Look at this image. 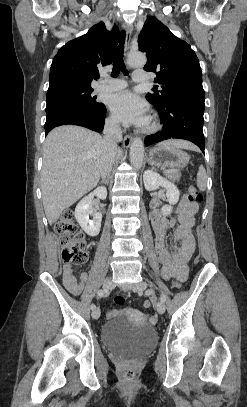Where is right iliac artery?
<instances>
[{"instance_id":"82829eb1","label":"right iliac artery","mask_w":247,"mask_h":407,"mask_svg":"<svg viewBox=\"0 0 247 407\" xmlns=\"http://www.w3.org/2000/svg\"><path fill=\"white\" fill-rule=\"evenodd\" d=\"M106 293H107V289H105V288H104V289H100V290L97 291V294H98L99 296H104ZM91 309H92V310L96 309L95 304H92V305H91Z\"/></svg>"}]
</instances>
